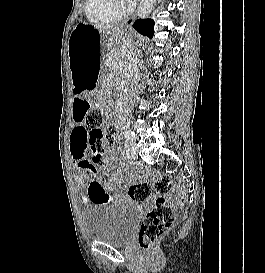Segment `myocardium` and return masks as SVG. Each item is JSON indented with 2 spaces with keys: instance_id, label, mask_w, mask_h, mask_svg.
Returning a JSON list of instances; mask_svg holds the SVG:
<instances>
[{
  "instance_id": "f54148a6",
  "label": "myocardium",
  "mask_w": 265,
  "mask_h": 273,
  "mask_svg": "<svg viewBox=\"0 0 265 273\" xmlns=\"http://www.w3.org/2000/svg\"><path fill=\"white\" fill-rule=\"evenodd\" d=\"M113 1H114V6L120 11L121 15H125L131 10L130 5H128L125 0H113Z\"/></svg>"
}]
</instances>
